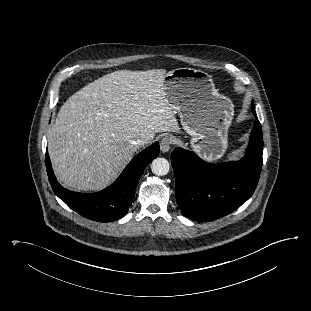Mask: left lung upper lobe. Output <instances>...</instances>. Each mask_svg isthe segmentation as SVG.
<instances>
[{"label": "left lung upper lobe", "instance_id": "obj_1", "mask_svg": "<svg viewBox=\"0 0 311 311\" xmlns=\"http://www.w3.org/2000/svg\"><path fill=\"white\" fill-rule=\"evenodd\" d=\"M252 109L254 110V105L252 104Z\"/></svg>", "mask_w": 311, "mask_h": 311}]
</instances>
